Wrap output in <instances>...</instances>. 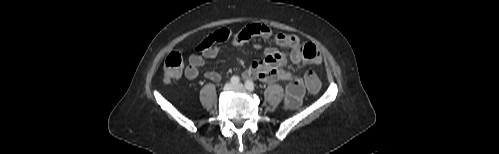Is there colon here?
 <instances>
[{
  "instance_id": "colon-1",
  "label": "colon",
  "mask_w": 499,
  "mask_h": 154,
  "mask_svg": "<svg viewBox=\"0 0 499 154\" xmlns=\"http://www.w3.org/2000/svg\"><path fill=\"white\" fill-rule=\"evenodd\" d=\"M183 70V52L181 50L171 52L164 62V81L166 83L178 78ZM303 83L310 93H317L321 83L314 71H307Z\"/></svg>"
}]
</instances>
